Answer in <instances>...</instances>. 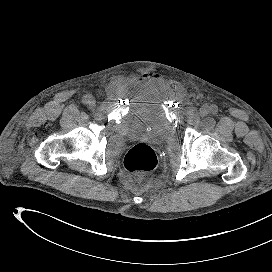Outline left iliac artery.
<instances>
[{
	"label": "left iliac artery",
	"mask_w": 272,
	"mask_h": 272,
	"mask_svg": "<svg viewBox=\"0 0 272 272\" xmlns=\"http://www.w3.org/2000/svg\"><path fill=\"white\" fill-rule=\"evenodd\" d=\"M210 111L212 114H216L218 112V107L216 105H212Z\"/></svg>",
	"instance_id": "left-iliac-artery-1"
}]
</instances>
